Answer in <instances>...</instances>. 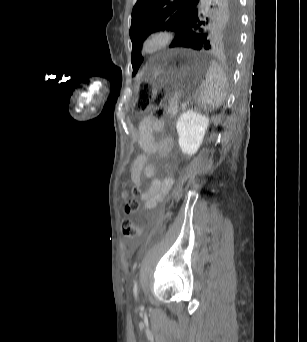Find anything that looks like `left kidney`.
Masks as SVG:
<instances>
[{"instance_id":"left-kidney-1","label":"left kidney","mask_w":307,"mask_h":342,"mask_svg":"<svg viewBox=\"0 0 307 342\" xmlns=\"http://www.w3.org/2000/svg\"><path fill=\"white\" fill-rule=\"evenodd\" d=\"M209 118L194 112V110H187L183 112L178 118L177 122V134L179 148L183 154L193 156L198 152L205 132L208 128Z\"/></svg>"}]
</instances>
